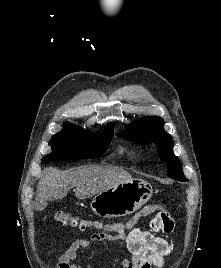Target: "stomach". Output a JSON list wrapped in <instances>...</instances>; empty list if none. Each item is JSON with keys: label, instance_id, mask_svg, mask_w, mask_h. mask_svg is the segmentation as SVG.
I'll list each match as a JSON object with an SVG mask.
<instances>
[{"label": "stomach", "instance_id": "obj_1", "mask_svg": "<svg viewBox=\"0 0 221 268\" xmlns=\"http://www.w3.org/2000/svg\"><path fill=\"white\" fill-rule=\"evenodd\" d=\"M152 196V187L141 179H131L108 191L97 194L92 211L102 218L127 216L140 209Z\"/></svg>", "mask_w": 221, "mask_h": 268}]
</instances>
